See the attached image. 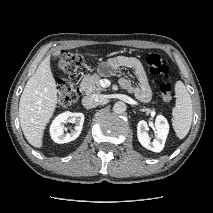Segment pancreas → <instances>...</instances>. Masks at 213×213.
I'll return each instance as SVG.
<instances>
[{
  "instance_id": "1",
  "label": "pancreas",
  "mask_w": 213,
  "mask_h": 213,
  "mask_svg": "<svg viewBox=\"0 0 213 213\" xmlns=\"http://www.w3.org/2000/svg\"><path fill=\"white\" fill-rule=\"evenodd\" d=\"M100 76L97 74L85 75L81 81L80 88L86 94L105 91V88L100 85Z\"/></svg>"
}]
</instances>
